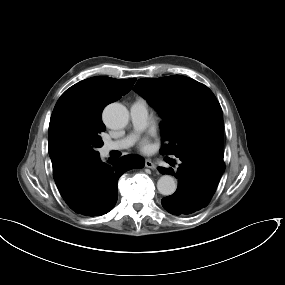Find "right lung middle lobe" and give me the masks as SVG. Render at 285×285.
Masks as SVG:
<instances>
[{
    "mask_svg": "<svg viewBox=\"0 0 285 285\" xmlns=\"http://www.w3.org/2000/svg\"><path fill=\"white\" fill-rule=\"evenodd\" d=\"M106 127L101 114L76 105L67 104L54 108L50 124L49 150L64 164L81 167L99 157L103 146L100 133Z\"/></svg>",
    "mask_w": 285,
    "mask_h": 285,
    "instance_id": "dd1d6c3e",
    "label": "right lung middle lobe"
}]
</instances>
